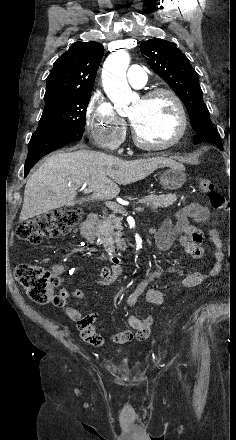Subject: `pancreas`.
I'll return each mask as SVG.
<instances>
[{"instance_id": "pancreas-1", "label": "pancreas", "mask_w": 236, "mask_h": 440, "mask_svg": "<svg viewBox=\"0 0 236 440\" xmlns=\"http://www.w3.org/2000/svg\"><path fill=\"white\" fill-rule=\"evenodd\" d=\"M176 200V194H150L142 198L140 202L146 206H150L152 210H156L158 208H167L173 205ZM116 214L117 212L113 211L109 215H103L102 220L99 221L97 226L100 241L105 250L110 253L115 251V244L117 249L124 250L126 248V244L122 238L121 218Z\"/></svg>"}]
</instances>
